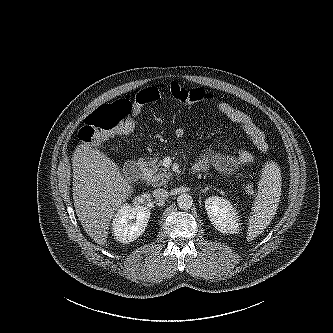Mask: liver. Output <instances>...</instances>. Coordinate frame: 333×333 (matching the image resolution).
Returning a JSON list of instances; mask_svg holds the SVG:
<instances>
[{
	"instance_id": "6515ba94",
	"label": "liver",
	"mask_w": 333,
	"mask_h": 333,
	"mask_svg": "<svg viewBox=\"0 0 333 333\" xmlns=\"http://www.w3.org/2000/svg\"><path fill=\"white\" fill-rule=\"evenodd\" d=\"M72 166L78 219L97 244L105 245L110 220L131 196L133 187L115 162L87 142L75 149Z\"/></svg>"
}]
</instances>
